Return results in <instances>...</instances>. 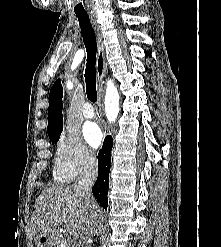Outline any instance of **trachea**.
I'll return each mask as SVG.
<instances>
[{"instance_id": "1", "label": "trachea", "mask_w": 221, "mask_h": 247, "mask_svg": "<svg viewBox=\"0 0 221 247\" xmlns=\"http://www.w3.org/2000/svg\"><path fill=\"white\" fill-rule=\"evenodd\" d=\"M81 33L83 37V41L87 51V63L85 69V82H86V94L87 98L92 101H97V90H96V71H95V63H96V51H97V43L96 36L91 25L89 16L87 14H76Z\"/></svg>"}]
</instances>
